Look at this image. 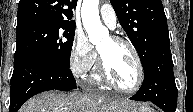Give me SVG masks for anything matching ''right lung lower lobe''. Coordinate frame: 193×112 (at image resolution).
<instances>
[{"label": "right lung lower lobe", "mask_w": 193, "mask_h": 112, "mask_svg": "<svg viewBox=\"0 0 193 112\" xmlns=\"http://www.w3.org/2000/svg\"><path fill=\"white\" fill-rule=\"evenodd\" d=\"M76 89L67 67L48 57H35L14 66L11 78L9 112H17L30 97L48 90Z\"/></svg>", "instance_id": "98d812e1"}]
</instances>
